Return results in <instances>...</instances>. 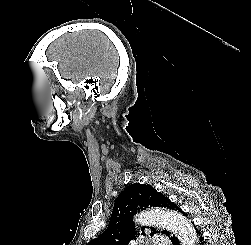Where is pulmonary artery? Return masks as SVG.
I'll return each mask as SVG.
<instances>
[{"label":"pulmonary artery","instance_id":"1","mask_svg":"<svg viewBox=\"0 0 251 245\" xmlns=\"http://www.w3.org/2000/svg\"><path fill=\"white\" fill-rule=\"evenodd\" d=\"M153 245H168V242L163 237H154L153 238Z\"/></svg>","mask_w":251,"mask_h":245}]
</instances>
